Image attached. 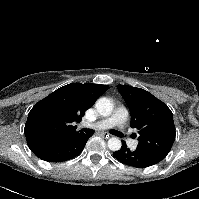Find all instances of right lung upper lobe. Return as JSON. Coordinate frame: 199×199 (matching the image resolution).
I'll use <instances>...</instances> for the list:
<instances>
[{
  "label": "right lung upper lobe",
  "mask_w": 199,
  "mask_h": 199,
  "mask_svg": "<svg viewBox=\"0 0 199 199\" xmlns=\"http://www.w3.org/2000/svg\"><path fill=\"white\" fill-rule=\"evenodd\" d=\"M109 89L106 85L72 83L62 86L36 103L28 114L24 133L28 146L73 137L75 122L98 97Z\"/></svg>",
  "instance_id": "obj_1"
}]
</instances>
